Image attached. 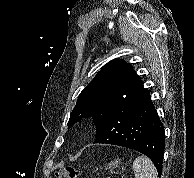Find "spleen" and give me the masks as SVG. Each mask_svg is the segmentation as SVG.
Returning <instances> with one entry per match:
<instances>
[{
	"label": "spleen",
	"instance_id": "3e777b00",
	"mask_svg": "<svg viewBox=\"0 0 194 178\" xmlns=\"http://www.w3.org/2000/svg\"><path fill=\"white\" fill-rule=\"evenodd\" d=\"M135 178H158L157 171L149 158L137 157L132 166Z\"/></svg>",
	"mask_w": 194,
	"mask_h": 178
}]
</instances>
